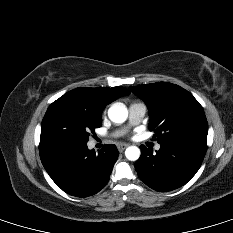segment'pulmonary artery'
<instances>
[{"mask_svg": "<svg viewBox=\"0 0 233 233\" xmlns=\"http://www.w3.org/2000/svg\"><path fill=\"white\" fill-rule=\"evenodd\" d=\"M146 113V106L142 103H132L129 106V123L130 125L139 124ZM156 149H160V145H156Z\"/></svg>", "mask_w": 233, "mask_h": 233, "instance_id": "1", "label": "pulmonary artery"}]
</instances>
